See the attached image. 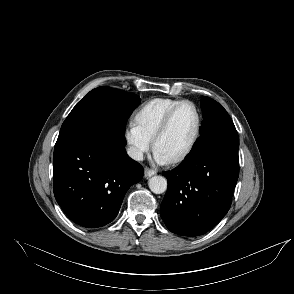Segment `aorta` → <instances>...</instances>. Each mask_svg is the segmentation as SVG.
Instances as JSON below:
<instances>
[{"instance_id": "1", "label": "aorta", "mask_w": 294, "mask_h": 294, "mask_svg": "<svg viewBox=\"0 0 294 294\" xmlns=\"http://www.w3.org/2000/svg\"><path fill=\"white\" fill-rule=\"evenodd\" d=\"M150 190L155 194H162L167 190V180L162 176H153L148 182Z\"/></svg>"}]
</instances>
